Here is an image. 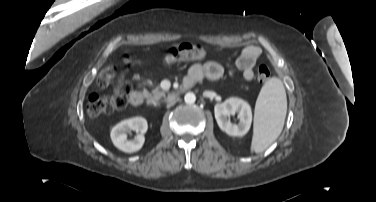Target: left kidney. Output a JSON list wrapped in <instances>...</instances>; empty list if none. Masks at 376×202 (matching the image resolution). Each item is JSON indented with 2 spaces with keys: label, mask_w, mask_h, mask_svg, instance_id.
Instances as JSON below:
<instances>
[{
  "label": "left kidney",
  "mask_w": 376,
  "mask_h": 202,
  "mask_svg": "<svg viewBox=\"0 0 376 202\" xmlns=\"http://www.w3.org/2000/svg\"><path fill=\"white\" fill-rule=\"evenodd\" d=\"M239 114V123L232 124L228 120L230 114ZM215 119L219 128L230 136H244L252 123V110L250 105L239 98H229L214 107Z\"/></svg>",
  "instance_id": "left-kidney-1"
}]
</instances>
